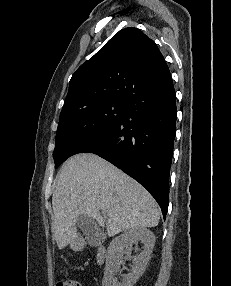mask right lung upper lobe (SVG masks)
<instances>
[{"label": "right lung upper lobe", "instance_id": "obj_1", "mask_svg": "<svg viewBox=\"0 0 231 286\" xmlns=\"http://www.w3.org/2000/svg\"><path fill=\"white\" fill-rule=\"evenodd\" d=\"M169 76L154 41L137 28L122 29L73 74L60 117L101 102H124L137 89Z\"/></svg>", "mask_w": 231, "mask_h": 286}]
</instances>
